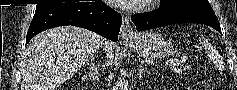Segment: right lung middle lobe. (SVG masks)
Returning <instances> with one entry per match:
<instances>
[{"label":"right lung middle lobe","instance_id":"1","mask_svg":"<svg viewBox=\"0 0 237 90\" xmlns=\"http://www.w3.org/2000/svg\"><path fill=\"white\" fill-rule=\"evenodd\" d=\"M44 5H47V4H37L36 8H39V7L44 6Z\"/></svg>","mask_w":237,"mask_h":90}]
</instances>
